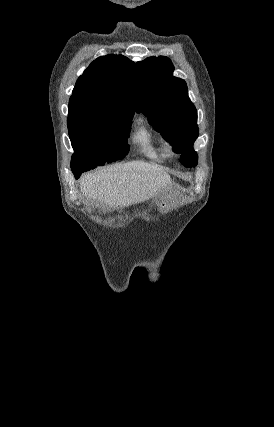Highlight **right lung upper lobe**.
Wrapping results in <instances>:
<instances>
[{"mask_svg":"<svg viewBox=\"0 0 274 427\" xmlns=\"http://www.w3.org/2000/svg\"><path fill=\"white\" fill-rule=\"evenodd\" d=\"M134 63L122 55L97 58L84 71L69 100V111L119 107L133 110L128 99V81Z\"/></svg>","mask_w":274,"mask_h":427,"instance_id":"1","label":"right lung upper lobe"}]
</instances>
